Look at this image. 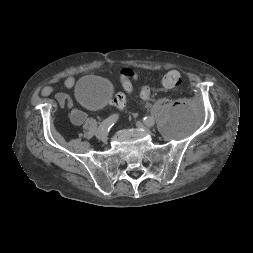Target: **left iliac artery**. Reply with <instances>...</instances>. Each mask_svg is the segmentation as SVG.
Instances as JSON below:
<instances>
[{
	"instance_id": "obj_1",
	"label": "left iliac artery",
	"mask_w": 253,
	"mask_h": 253,
	"mask_svg": "<svg viewBox=\"0 0 253 253\" xmlns=\"http://www.w3.org/2000/svg\"><path fill=\"white\" fill-rule=\"evenodd\" d=\"M143 120H144V123L146 124V125H148V126H153L154 125V118L153 117H151V116H146V117H144L143 118Z\"/></svg>"
}]
</instances>
